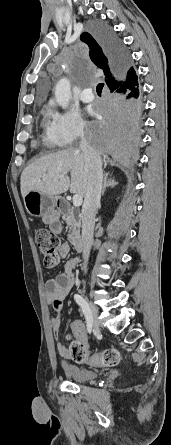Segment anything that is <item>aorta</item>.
<instances>
[{
    "label": "aorta",
    "mask_w": 171,
    "mask_h": 445,
    "mask_svg": "<svg viewBox=\"0 0 171 445\" xmlns=\"http://www.w3.org/2000/svg\"><path fill=\"white\" fill-rule=\"evenodd\" d=\"M71 98V85L70 81L66 78L59 80L55 87V100L62 106L66 107Z\"/></svg>",
    "instance_id": "762f6f07"
}]
</instances>
